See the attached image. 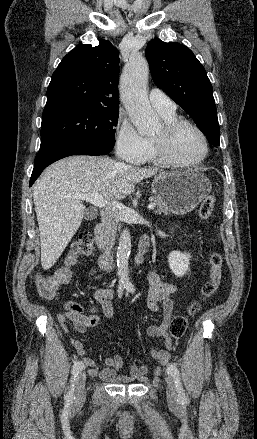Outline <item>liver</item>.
<instances>
[{
  "label": "liver",
  "instance_id": "6515ba94",
  "mask_svg": "<svg viewBox=\"0 0 257 439\" xmlns=\"http://www.w3.org/2000/svg\"><path fill=\"white\" fill-rule=\"evenodd\" d=\"M156 173L96 156H71L48 167L33 187L42 268L56 263L81 225L86 207L73 194L98 193L108 202L121 200Z\"/></svg>",
  "mask_w": 257,
  "mask_h": 439
}]
</instances>
